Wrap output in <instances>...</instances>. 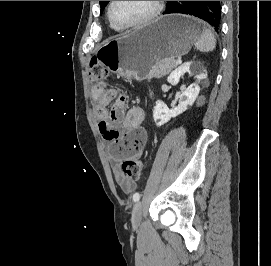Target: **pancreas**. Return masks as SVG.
Masks as SVG:
<instances>
[{
    "instance_id": "pancreas-1",
    "label": "pancreas",
    "mask_w": 271,
    "mask_h": 266,
    "mask_svg": "<svg viewBox=\"0 0 271 266\" xmlns=\"http://www.w3.org/2000/svg\"><path fill=\"white\" fill-rule=\"evenodd\" d=\"M176 67V61L172 59H163L156 62L150 71V75L155 78L166 76Z\"/></svg>"
}]
</instances>
